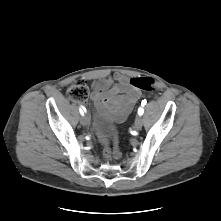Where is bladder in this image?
I'll list each match as a JSON object with an SVG mask.
<instances>
[{
    "label": "bladder",
    "instance_id": "obj_1",
    "mask_svg": "<svg viewBox=\"0 0 221 221\" xmlns=\"http://www.w3.org/2000/svg\"><path fill=\"white\" fill-rule=\"evenodd\" d=\"M94 125L100 135L107 137L115 131L116 121L104 106L98 105L94 111Z\"/></svg>",
    "mask_w": 221,
    "mask_h": 221
}]
</instances>
